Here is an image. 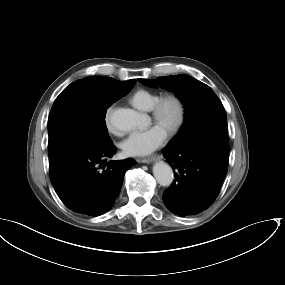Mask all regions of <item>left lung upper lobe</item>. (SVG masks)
Listing matches in <instances>:
<instances>
[{
	"instance_id": "5c2ea615",
	"label": "left lung upper lobe",
	"mask_w": 285,
	"mask_h": 285,
	"mask_svg": "<svg viewBox=\"0 0 285 285\" xmlns=\"http://www.w3.org/2000/svg\"><path fill=\"white\" fill-rule=\"evenodd\" d=\"M139 81L150 87L161 86L173 91L184 104V123L165 148L176 150L201 141L228 143L226 112L209 86L188 75Z\"/></svg>"
}]
</instances>
